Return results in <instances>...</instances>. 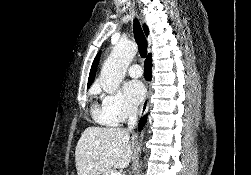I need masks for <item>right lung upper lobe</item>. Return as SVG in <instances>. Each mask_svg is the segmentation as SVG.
Segmentation results:
<instances>
[{
  "label": "right lung upper lobe",
  "instance_id": "right-lung-upper-lobe-1",
  "mask_svg": "<svg viewBox=\"0 0 251 175\" xmlns=\"http://www.w3.org/2000/svg\"><path fill=\"white\" fill-rule=\"evenodd\" d=\"M144 31H145V34L148 35V28L146 25H144ZM99 57H100V53H98V55L96 56L93 64H92V67H91V71H90V74H89V79H88V87L92 84L94 78H95V74H96V67L98 65V61H99ZM151 58V54L148 55L147 59H150Z\"/></svg>",
  "mask_w": 251,
  "mask_h": 175
}]
</instances>
